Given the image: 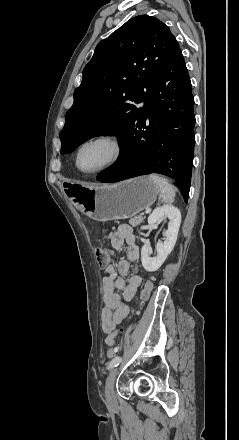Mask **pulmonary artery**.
Listing matches in <instances>:
<instances>
[{
  "label": "pulmonary artery",
  "mask_w": 239,
  "mask_h": 440,
  "mask_svg": "<svg viewBox=\"0 0 239 440\" xmlns=\"http://www.w3.org/2000/svg\"><path fill=\"white\" fill-rule=\"evenodd\" d=\"M140 106H141V107L144 106V102L140 103Z\"/></svg>",
  "instance_id": "1"
}]
</instances>
